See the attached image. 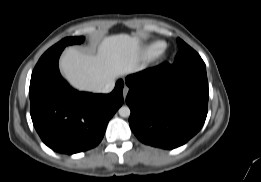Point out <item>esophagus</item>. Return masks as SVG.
Instances as JSON below:
<instances>
[{"label": "esophagus", "mask_w": 261, "mask_h": 182, "mask_svg": "<svg viewBox=\"0 0 261 182\" xmlns=\"http://www.w3.org/2000/svg\"><path fill=\"white\" fill-rule=\"evenodd\" d=\"M128 92H129V87L125 85L123 87V97H124V99L126 98Z\"/></svg>", "instance_id": "34e87169"}]
</instances>
